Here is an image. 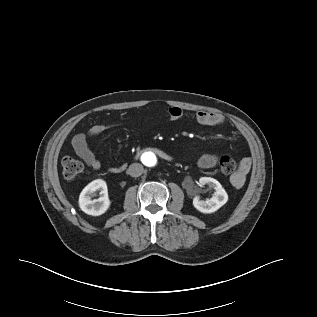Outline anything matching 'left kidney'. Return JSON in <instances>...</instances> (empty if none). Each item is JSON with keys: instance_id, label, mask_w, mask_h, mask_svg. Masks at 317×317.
Listing matches in <instances>:
<instances>
[{"instance_id": "5707ae66", "label": "left kidney", "mask_w": 317, "mask_h": 317, "mask_svg": "<svg viewBox=\"0 0 317 317\" xmlns=\"http://www.w3.org/2000/svg\"><path fill=\"white\" fill-rule=\"evenodd\" d=\"M207 185L210 189H214V196L202 200L199 195L193 198V206L201 213H213L222 207L228 201V195L222 185L214 178L201 177L199 179V186Z\"/></svg>"}]
</instances>
